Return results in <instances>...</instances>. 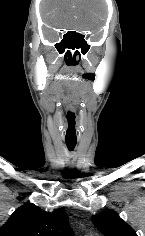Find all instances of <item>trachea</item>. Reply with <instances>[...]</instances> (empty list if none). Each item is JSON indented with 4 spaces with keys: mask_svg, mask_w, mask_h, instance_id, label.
Here are the masks:
<instances>
[{
    "mask_svg": "<svg viewBox=\"0 0 145 236\" xmlns=\"http://www.w3.org/2000/svg\"><path fill=\"white\" fill-rule=\"evenodd\" d=\"M66 145H67V148L72 151L74 150L75 146H76V142H68L66 141Z\"/></svg>",
    "mask_w": 145,
    "mask_h": 236,
    "instance_id": "obj_1",
    "label": "trachea"
}]
</instances>
